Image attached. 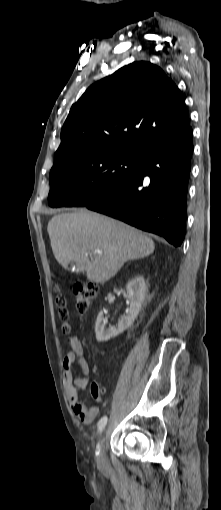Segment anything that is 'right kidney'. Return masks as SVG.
Masks as SVG:
<instances>
[{
	"mask_svg": "<svg viewBox=\"0 0 221 510\" xmlns=\"http://www.w3.org/2000/svg\"><path fill=\"white\" fill-rule=\"evenodd\" d=\"M128 298L130 300V308L127 316L122 318L117 326L106 327L103 312H100L95 322V334L98 342L108 341L118 336L124 330L129 328L142 307L147 292L145 280L142 276H137L128 282L126 286Z\"/></svg>",
	"mask_w": 221,
	"mask_h": 510,
	"instance_id": "right-kidney-1",
	"label": "right kidney"
}]
</instances>
